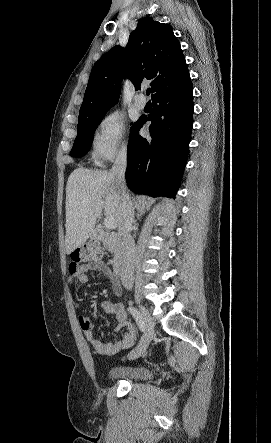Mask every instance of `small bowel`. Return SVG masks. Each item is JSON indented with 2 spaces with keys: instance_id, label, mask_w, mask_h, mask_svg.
Wrapping results in <instances>:
<instances>
[{
  "instance_id": "obj_1",
  "label": "small bowel",
  "mask_w": 271,
  "mask_h": 443,
  "mask_svg": "<svg viewBox=\"0 0 271 443\" xmlns=\"http://www.w3.org/2000/svg\"><path fill=\"white\" fill-rule=\"evenodd\" d=\"M93 271L106 275L112 283L114 294L116 296H119L121 294L122 287L120 280L113 274V272L105 262L98 259L82 264L71 263L69 267V284L74 285L75 282H79L81 284L87 283V274ZM101 306L107 313V315L117 321V330L120 333V336L114 342L103 343L94 336L92 331L93 325L89 318L85 316H80L79 324L90 346L96 353L102 356H111L122 350L131 348L136 342V330L130 322L122 305L115 301L106 300L102 302Z\"/></svg>"
}]
</instances>
